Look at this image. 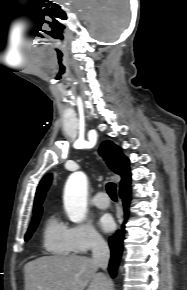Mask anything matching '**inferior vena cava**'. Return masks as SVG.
Segmentation results:
<instances>
[{"instance_id":"1","label":"inferior vena cava","mask_w":187,"mask_h":290,"mask_svg":"<svg viewBox=\"0 0 187 290\" xmlns=\"http://www.w3.org/2000/svg\"><path fill=\"white\" fill-rule=\"evenodd\" d=\"M92 259L94 263L105 270L110 259V250L105 240L100 237H94L92 241Z\"/></svg>"}]
</instances>
